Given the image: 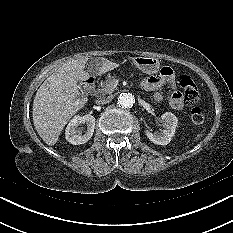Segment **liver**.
<instances>
[{
	"label": "liver",
	"mask_w": 233,
	"mask_h": 233,
	"mask_svg": "<svg viewBox=\"0 0 233 233\" xmlns=\"http://www.w3.org/2000/svg\"><path fill=\"white\" fill-rule=\"evenodd\" d=\"M87 61L88 57H83L64 63L37 90L33 102V123L39 136L48 145L52 146L58 141L67 122L87 103V98H78L77 84L90 77V71L84 70ZM118 66L117 63L100 58L90 73L102 75Z\"/></svg>",
	"instance_id": "1"
}]
</instances>
